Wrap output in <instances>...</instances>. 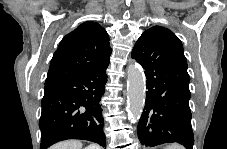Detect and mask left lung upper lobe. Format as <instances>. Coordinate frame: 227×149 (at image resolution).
<instances>
[{
  "mask_svg": "<svg viewBox=\"0 0 227 149\" xmlns=\"http://www.w3.org/2000/svg\"><path fill=\"white\" fill-rule=\"evenodd\" d=\"M157 27L162 28L169 35L170 39L175 44V46L179 50H181L182 52H184L183 45H182L181 41L178 39V37L172 31H170L169 29H166L164 27H160V26H157Z\"/></svg>",
  "mask_w": 227,
  "mask_h": 149,
  "instance_id": "left-lung-upper-lobe-1",
  "label": "left lung upper lobe"
}]
</instances>
